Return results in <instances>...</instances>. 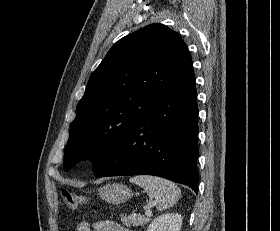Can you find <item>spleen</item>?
I'll return each mask as SVG.
<instances>
[{"label":"spleen","mask_w":280,"mask_h":231,"mask_svg":"<svg viewBox=\"0 0 280 231\" xmlns=\"http://www.w3.org/2000/svg\"><path fill=\"white\" fill-rule=\"evenodd\" d=\"M129 181L144 187L151 199H153L157 209H168L178 201L181 191L173 181L156 177V175H135Z\"/></svg>","instance_id":"3e777b00"}]
</instances>
